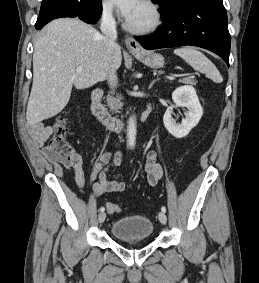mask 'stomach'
Masks as SVG:
<instances>
[{
	"label": "stomach",
	"instance_id": "1",
	"mask_svg": "<svg viewBox=\"0 0 259 283\" xmlns=\"http://www.w3.org/2000/svg\"><path fill=\"white\" fill-rule=\"evenodd\" d=\"M132 54L148 67L161 68L164 65V58L161 54L154 52H143V53L132 52Z\"/></svg>",
	"mask_w": 259,
	"mask_h": 283
}]
</instances>
